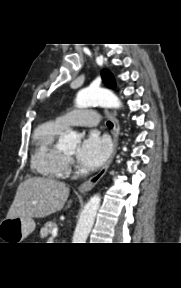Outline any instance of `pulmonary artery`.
Returning a JSON list of instances; mask_svg holds the SVG:
<instances>
[{
    "mask_svg": "<svg viewBox=\"0 0 181 288\" xmlns=\"http://www.w3.org/2000/svg\"><path fill=\"white\" fill-rule=\"evenodd\" d=\"M57 121L64 127H94L98 124V115L92 109L74 110L58 117Z\"/></svg>",
    "mask_w": 181,
    "mask_h": 288,
    "instance_id": "obj_1",
    "label": "pulmonary artery"
}]
</instances>
